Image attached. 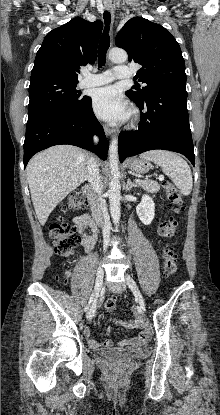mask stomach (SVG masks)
<instances>
[{"instance_id": "1", "label": "stomach", "mask_w": 220, "mask_h": 415, "mask_svg": "<svg viewBox=\"0 0 220 415\" xmlns=\"http://www.w3.org/2000/svg\"><path fill=\"white\" fill-rule=\"evenodd\" d=\"M129 167L133 172L142 174L148 172L151 169V164L143 159H133L129 163Z\"/></svg>"}]
</instances>
